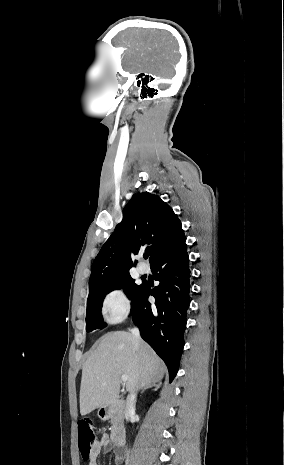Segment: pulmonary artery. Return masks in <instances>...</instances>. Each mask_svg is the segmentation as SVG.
I'll return each mask as SVG.
<instances>
[{"instance_id": "pulmonary-artery-1", "label": "pulmonary artery", "mask_w": 284, "mask_h": 465, "mask_svg": "<svg viewBox=\"0 0 284 465\" xmlns=\"http://www.w3.org/2000/svg\"><path fill=\"white\" fill-rule=\"evenodd\" d=\"M136 270L139 274H144L146 273L147 271V268L145 265H143L142 263H138L137 266H136Z\"/></svg>"}]
</instances>
